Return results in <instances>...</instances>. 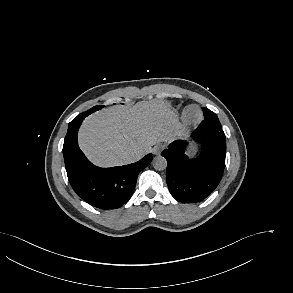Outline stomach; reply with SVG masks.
<instances>
[{
  "mask_svg": "<svg viewBox=\"0 0 293 293\" xmlns=\"http://www.w3.org/2000/svg\"><path fill=\"white\" fill-rule=\"evenodd\" d=\"M195 152V149L193 148V153Z\"/></svg>",
  "mask_w": 293,
  "mask_h": 293,
  "instance_id": "0dacf381",
  "label": "stomach"
}]
</instances>
